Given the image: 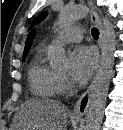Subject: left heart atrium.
I'll use <instances>...</instances> for the list:
<instances>
[{
	"label": "left heart atrium",
	"mask_w": 123,
	"mask_h": 130,
	"mask_svg": "<svg viewBox=\"0 0 123 130\" xmlns=\"http://www.w3.org/2000/svg\"><path fill=\"white\" fill-rule=\"evenodd\" d=\"M70 77L76 83L86 82L97 66V55L88 47L76 48L70 61Z\"/></svg>",
	"instance_id": "left-heart-atrium-1"
}]
</instances>
